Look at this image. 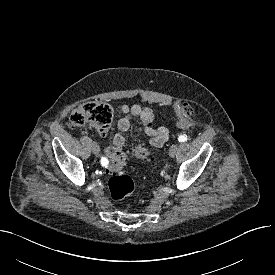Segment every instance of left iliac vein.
Masks as SVG:
<instances>
[{
	"instance_id": "obj_1",
	"label": "left iliac vein",
	"mask_w": 275,
	"mask_h": 275,
	"mask_svg": "<svg viewBox=\"0 0 275 275\" xmlns=\"http://www.w3.org/2000/svg\"><path fill=\"white\" fill-rule=\"evenodd\" d=\"M178 151V146L173 144L169 149V154L171 157H174Z\"/></svg>"
}]
</instances>
